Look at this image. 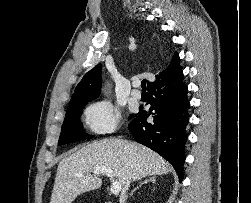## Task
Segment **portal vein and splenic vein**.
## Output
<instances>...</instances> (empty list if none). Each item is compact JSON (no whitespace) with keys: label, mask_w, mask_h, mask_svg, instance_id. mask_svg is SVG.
<instances>
[{"label":"portal vein and splenic vein","mask_w":251,"mask_h":203,"mask_svg":"<svg viewBox=\"0 0 251 203\" xmlns=\"http://www.w3.org/2000/svg\"><path fill=\"white\" fill-rule=\"evenodd\" d=\"M92 172L95 175L105 174L109 178H113V176H114L113 170L111 168H107V167L95 168ZM110 191H111L112 194H115V195L119 194V192L121 191V185H120V183L117 182V181L112 182Z\"/></svg>","instance_id":"portal-vein-and-splenic-vein-1"}]
</instances>
